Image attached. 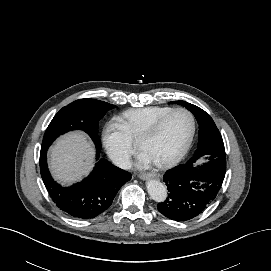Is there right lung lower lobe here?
Instances as JSON below:
<instances>
[{
  "label": "right lung lower lobe",
  "instance_id": "98d812e1",
  "mask_svg": "<svg viewBox=\"0 0 271 271\" xmlns=\"http://www.w3.org/2000/svg\"><path fill=\"white\" fill-rule=\"evenodd\" d=\"M96 159H99L98 149ZM40 170L46 189L56 205L70 216L81 219L94 218L105 211L121 186L131 178L130 173L101 158L87 179L64 188L51 178L46 152L40 153Z\"/></svg>",
  "mask_w": 271,
  "mask_h": 271
}]
</instances>
